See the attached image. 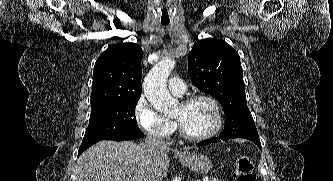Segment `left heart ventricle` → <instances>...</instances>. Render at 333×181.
<instances>
[{
    "mask_svg": "<svg viewBox=\"0 0 333 181\" xmlns=\"http://www.w3.org/2000/svg\"><path fill=\"white\" fill-rule=\"evenodd\" d=\"M172 116L181 123L188 133L193 135L208 132L215 121L212 106L204 100L195 101L188 105L180 103L175 108Z\"/></svg>",
    "mask_w": 333,
    "mask_h": 181,
    "instance_id": "b2bd125f",
    "label": "left heart ventricle"
}]
</instances>
